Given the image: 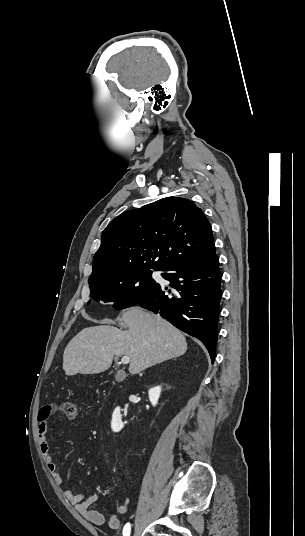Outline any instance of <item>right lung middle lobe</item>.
I'll return each mask as SVG.
<instances>
[{"label":"right lung middle lobe","instance_id":"right-lung-middle-lobe-1","mask_svg":"<svg viewBox=\"0 0 305 536\" xmlns=\"http://www.w3.org/2000/svg\"><path fill=\"white\" fill-rule=\"evenodd\" d=\"M151 276V270L141 269L110 279L92 281L89 282L90 296L97 302H112L114 308L124 309L137 304L158 285Z\"/></svg>","mask_w":305,"mask_h":536}]
</instances>
